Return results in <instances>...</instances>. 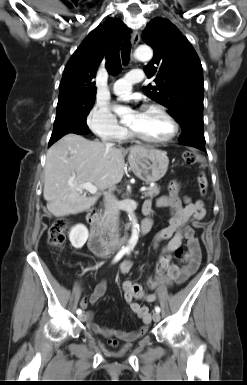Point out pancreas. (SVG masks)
Here are the masks:
<instances>
[{"label":"pancreas","instance_id":"cf45deb5","mask_svg":"<svg viewBox=\"0 0 247 385\" xmlns=\"http://www.w3.org/2000/svg\"><path fill=\"white\" fill-rule=\"evenodd\" d=\"M160 192V187H158L157 185H154L152 187H149L146 189V191L144 192V195L145 197H150V198H153L155 196H157ZM101 223L102 225L105 227L106 231L109 230V225H110V218H109V215L105 212L102 216H101Z\"/></svg>","mask_w":247,"mask_h":385}]
</instances>
